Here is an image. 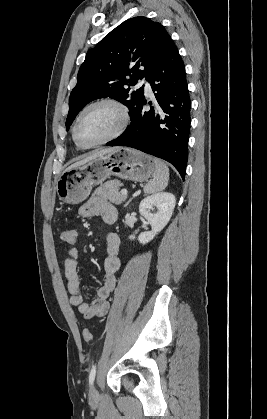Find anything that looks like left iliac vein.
<instances>
[{
	"label": "left iliac vein",
	"mask_w": 267,
	"mask_h": 419,
	"mask_svg": "<svg viewBox=\"0 0 267 419\" xmlns=\"http://www.w3.org/2000/svg\"><path fill=\"white\" fill-rule=\"evenodd\" d=\"M89 395L91 398H96L98 395L97 389L95 387V385H91L90 390H89Z\"/></svg>",
	"instance_id": "obj_1"
}]
</instances>
